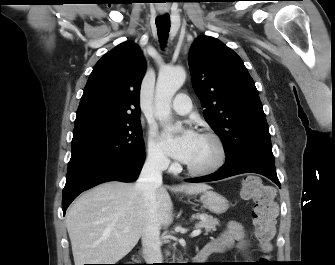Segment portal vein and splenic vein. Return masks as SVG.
Instances as JSON below:
<instances>
[{"label": "portal vein and splenic vein", "mask_w": 335, "mask_h": 265, "mask_svg": "<svg viewBox=\"0 0 335 265\" xmlns=\"http://www.w3.org/2000/svg\"><path fill=\"white\" fill-rule=\"evenodd\" d=\"M201 234V230L200 229H196L194 231H192L191 233V237H195Z\"/></svg>", "instance_id": "obj_1"}]
</instances>
